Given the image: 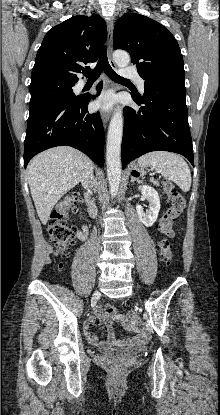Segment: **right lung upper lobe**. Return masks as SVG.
<instances>
[{"mask_svg":"<svg viewBox=\"0 0 220 415\" xmlns=\"http://www.w3.org/2000/svg\"><path fill=\"white\" fill-rule=\"evenodd\" d=\"M106 39V24L99 15L69 18L45 35L36 55L31 81L53 78L76 83V73L83 69L81 64L97 61Z\"/></svg>","mask_w":220,"mask_h":415,"instance_id":"obj_1","label":"right lung upper lobe"}]
</instances>
